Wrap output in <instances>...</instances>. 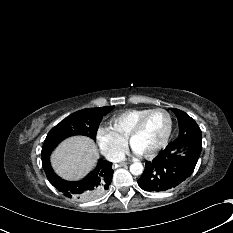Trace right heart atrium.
Listing matches in <instances>:
<instances>
[{
    "mask_svg": "<svg viewBox=\"0 0 233 233\" xmlns=\"http://www.w3.org/2000/svg\"><path fill=\"white\" fill-rule=\"evenodd\" d=\"M97 144L101 153L110 161H119L126 149V142H123L109 130L100 129L96 135Z\"/></svg>",
    "mask_w": 233,
    "mask_h": 233,
    "instance_id": "right-heart-atrium-1",
    "label": "right heart atrium"
}]
</instances>
